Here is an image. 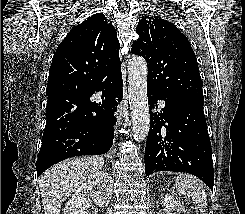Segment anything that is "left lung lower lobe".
<instances>
[{
	"label": "left lung lower lobe",
	"instance_id": "obj_1",
	"mask_svg": "<svg viewBox=\"0 0 245 214\" xmlns=\"http://www.w3.org/2000/svg\"><path fill=\"white\" fill-rule=\"evenodd\" d=\"M150 129L145 148V173L186 172L213 189L211 143L203 112L204 99L171 97L147 87ZM165 101L160 112L156 103Z\"/></svg>",
	"mask_w": 245,
	"mask_h": 214
}]
</instances>
